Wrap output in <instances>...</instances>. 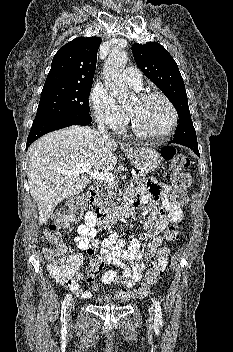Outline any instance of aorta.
Masks as SVG:
<instances>
[{"instance_id":"obj_1","label":"aorta","mask_w":233,"mask_h":352,"mask_svg":"<svg viewBox=\"0 0 233 352\" xmlns=\"http://www.w3.org/2000/svg\"><path fill=\"white\" fill-rule=\"evenodd\" d=\"M127 61V53L123 49L116 48L109 54L103 69L105 87L120 104H126L133 96L122 80V71Z\"/></svg>"}]
</instances>
